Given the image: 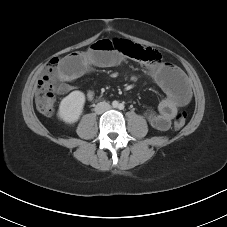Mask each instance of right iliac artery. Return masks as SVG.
Here are the masks:
<instances>
[{"mask_svg": "<svg viewBox=\"0 0 227 227\" xmlns=\"http://www.w3.org/2000/svg\"><path fill=\"white\" fill-rule=\"evenodd\" d=\"M113 106H114V107H117V106H118V102H117V101H114V102H113Z\"/></svg>", "mask_w": 227, "mask_h": 227, "instance_id": "1", "label": "right iliac artery"}]
</instances>
